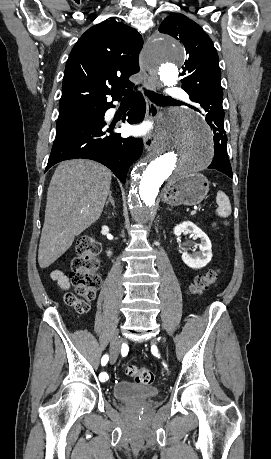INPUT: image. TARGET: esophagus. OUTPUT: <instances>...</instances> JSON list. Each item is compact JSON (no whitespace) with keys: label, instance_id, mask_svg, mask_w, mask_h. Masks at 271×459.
<instances>
[{"label":"esophagus","instance_id":"obj_1","mask_svg":"<svg viewBox=\"0 0 271 459\" xmlns=\"http://www.w3.org/2000/svg\"><path fill=\"white\" fill-rule=\"evenodd\" d=\"M138 67L141 69L145 86L148 89L155 90L156 89V79L153 67L152 60H142L140 58L138 62ZM147 89V90H148ZM146 101V119L149 121H156L158 118L159 108L152 102L149 98H145ZM156 142V135L154 131H149L144 137V147L147 152H150L154 147Z\"/></svg>","mask_w":271,"mask_h":459}]
</instances>
